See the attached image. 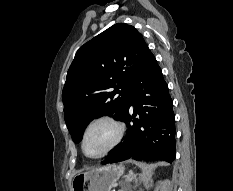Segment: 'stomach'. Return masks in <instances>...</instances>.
Segmentation results:
<instances>
[{"label": "stomach", "instance_id": "stomach-1", "mask_svg": "<svg viewBox=\"0 0 233 191\" xmlns=\"http://www.w3.org/2000/svg\"><path fill=\"white\" fill-rule=\"evenodd\" d=\"M122 165L108 164L77 174L72 181V191H111L122 176Z\"/></svg>", "mask_w": 233, "mask_h": 191}]
</instances>
